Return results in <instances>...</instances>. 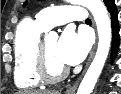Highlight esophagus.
<instances>
[{
    "instance_id": "esophagus-1",
    "label": "esophagus",
    "mask_w": 121,
    "mask_h": 94,
    "mask_svg": "<svg viewBox=\"0 0 121 94\" xmlns=\"http://www.w3.org/2000/svg\"><path fill=\"white\" fill-rule=\"evenodd\" d=\"M95 49H96V45L94 46V48L88 58V61H87V64H86V67H85L83 73L86 71L87 67L89 66V64L95 54ZM83 73H82V75H83ZM82 75L76 80V82L72 86H70L66 89L65 94H75V91L77 89L80 79L82 78Z\"/></svg>"
}]
</instances>
